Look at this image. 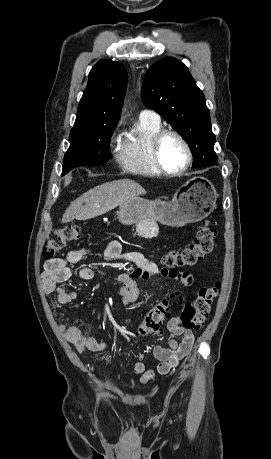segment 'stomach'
Masks as SVG:
<instances>
[{
    "mask_svg": "<svg viewBox=\"0 0 271 459\" xmlns=\"http://www.w3.org/2000/svg\"><path fill=\"white\" fill-rule=\"evenodd\" d=\"M217 202V192L207 178H192L183 184L173 196L172 202H149L133 198L119 206V222L131 226L146 218H154L163 226L181 228L190 222L208 218Z\"/></svg>",
    "mask_w": 271,
    "mask_h": 459,
    "instance_id": "1",
    "label": "stomach"
}]
</instances>
